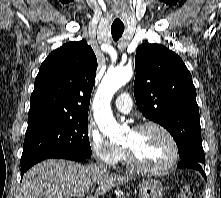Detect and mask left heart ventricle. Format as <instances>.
Here are the masks:
<instances>
[{"label":"left heart ventricle","instance_id":"obj_1","mask_svg":"<svg viewBox=\"0 0 221 198\" xmlns=\"http://www.w3.org/2000/svg\"><path fill=\"white\" fill-rule=\"evenodd\" d=\"M123 145L130 148L137 161L147 167L161 166L171 156L169 140L155 128H148L137 133L130 131Z\"/></svg>","mask_w":221,"mask_h":198}]
</instances>
